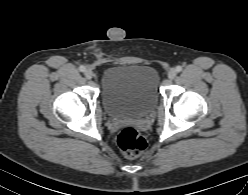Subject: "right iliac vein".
<instances>
[{
	"mask_svg": "<svg viewBox=\"0 0 248 195\" xmlns=\"http://www.w3.org/2000/svg\"><path fill=\"white\" fill-rule=\"evenodd\" d=\"M86 78L91 79L94 75V72L91 69H86L84 72Z\"/></svg>",
	"mask_w": 248,
	"mask_h": 195,
	"instance_id": "1",
	"label": "right iliac vein"
}]
</instances>
